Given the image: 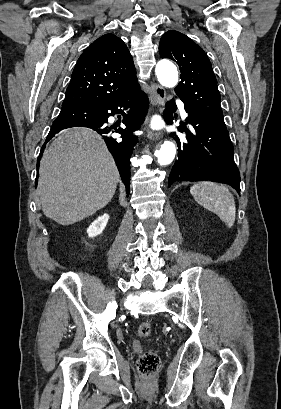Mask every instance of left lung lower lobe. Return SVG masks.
I'll use <instances>...</instances> for the list:
<instances>
[{
  "instance_id": "left-lung-lower-lobe-1",
  "label": "left lung lower lobe",
  "mask_w": 281,
  "mask_h": 409,
  "mask_svg": "<svg viewBox=\"0 0 281 409\" xmlns=\"http://www.w3.org/2000/svg\"><path fill=\"white\" fill-rule=\"evenodd\" d=\"M164 117L168 124L173 123V112L176 110L174 100L167 102ZM188 113L186 124L178 127L186 132L185 138L174 139L178 145V160L172 167L168 183L177 180L200 181L211 180L227 183L240 192V173L233 158V145L225 123L213 119L194 108L185 105Z\"/></svg>"
}]
</instances>
